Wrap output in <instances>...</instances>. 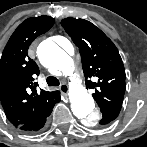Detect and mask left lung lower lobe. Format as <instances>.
Returning a JSON list of instances; mask_svg holds the SVG:
<instances>
[{"label": "left lung lower lobe", "mask_w": 147, "mask_h": 147, "mask_svg": "<svg viewBox=\"0 0 147 147\" xmlns=\"http://www.w3.org/2000/svg\"><path fill=\"white\" fill-rule=\"evenodd\" d=\"M121 106H113L106 109H101L102 119L100 120L101 125H106L117 118Z\"/></svg>", "instance_id": "left-lung-lower-lobe-1"}]
</instances>
